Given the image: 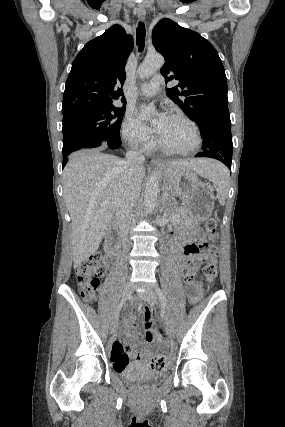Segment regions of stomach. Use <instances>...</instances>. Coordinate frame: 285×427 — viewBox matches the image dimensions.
<instances>
[{
	"instance_id": "stomach-1",
	"label": "stomach",
	"mask_w": 285,
	"mask_h": 427,
	"mask_svg": "<svg viewBox=\"0 0 285 427\" xmlns=\"http://www.w3.org/2000/svg\"><path fill=\"white\" fill-rule=\"evenodd\" d=\"M161 169L172 192L183 200L188 219L192 222L208 219L215 200L212 188L199 181L191 168L166 164Z\"/></svg>"
}]
</instances>
